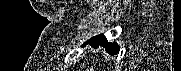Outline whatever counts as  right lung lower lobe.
Instances as JSON below:
<instances>
[{"mask_svg": "<svg viewBox=\"0 0 181 71\" xmlns=\"http://www.w3.org/2000/svg\"><path fill=\"white\" fill-rule=\"evenodd\" d=\"M87 44H90L94 48H97L98 45H102L105 48V51L110 55H115L119 51V46L115 43H108L103 35H98L91 38L82 46H86Z\"/></svg>", "mask_w": 181, "mask_h": 71, "instance_id": "98d812e1", "label": "right lung lower lobe"}]
</instances>
